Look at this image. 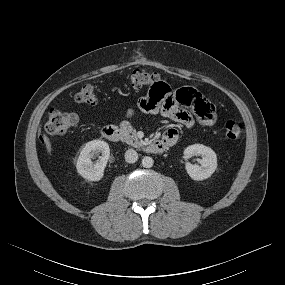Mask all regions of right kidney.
Here are the masks:
<instances>
[{"label":"right kidney","mask_w":285,"mask_h":285,"mask_svg":"<svg viewBox=\"0 0 285 285\" xmlns=\"http://www.w3.org/2000/svg\"><path fill=\"white\" fill-rule=\"evenodd\" d=\"M98 156L99 160L94 163L92 159ZM109 156L110 148L108 143L102 140L90 141L80 151L76 163L77 172L86 180L99 181L103 178Z\"/></svg>","instance_id":"obj_1"}]
</instances>
